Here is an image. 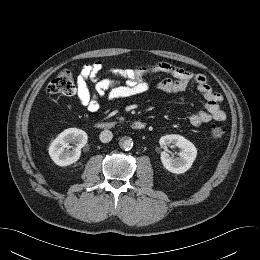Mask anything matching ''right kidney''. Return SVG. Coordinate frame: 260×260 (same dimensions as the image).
<instances>
[{
    "mask_svg": "<svg viewBox=\"0 0 260 260\" xmlns=\"http://www.w3.org/2000/svg\"><path fill=\"white\" fill-rule=\"evenodd\" d=\"M88 140L87 133L78 128H68L60 133L49 147V155L55 164L65 167L69 166L80 158L81 149ZM69 144L76 147L70 150Z\"/></svg>",
    "mask_w": 260,
    "mask_h": 260,
    "instance_id": "right-kidney-1",
    "label": "right kidney"
}]
</instances>
